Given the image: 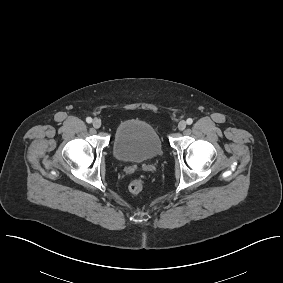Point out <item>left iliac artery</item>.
<instances>
[{
	"label": "left iliac artery",
	"mask_w": 283,
	"mask_h": 283,
	"mask_svg": "<svg viewBox=\"0 0 283 283\" xmlns=\"http://www.w3.org/2000/svg\"><path fill=\"white\" fill-rule=\"evenodd\" d=\"M186 122H187L188 125H191L193 123V119L188 118Z\"/></svg>",
	"instance_id": "44dca946"
}]
</instances>
